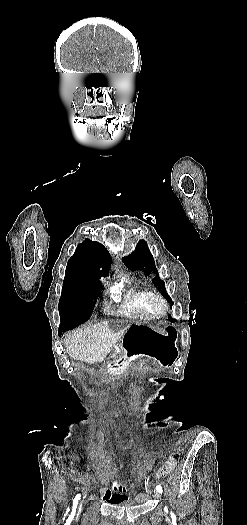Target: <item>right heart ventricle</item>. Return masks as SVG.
<instances>
[{
    "label": "right heart ventricle",
    "instance_id": "1",
    "mask_svg": "<svg viewBox=\"0 0 247 525\" xmlns=\"http://www.w3.org/2000/svg\"><path fill=\"white\" fill-rule=\"evenodd\" d=\"M143 289H132L126 295L125 303L122 307L116 310V315H124L129 317H150L147 308V299L144 295Z\"/></svg>",
    "mask_w": 247,
    "mask_h": 525
}]
</instances>
